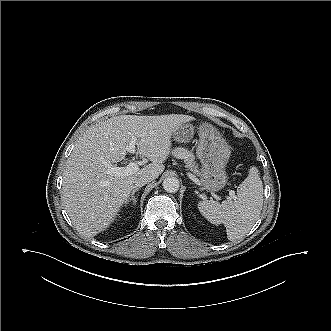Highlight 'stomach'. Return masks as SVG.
I'll return each instance as SVG.
<instances>
[{
    "label": "stomach",
    "mask_w": 331,
    "mask_h": 331,
    "mask_svg": "<svg viewBox=\"0 0 331 331\" xmlns=\"http://www.w3.org/2000/svg\"><path fill=\"white\" fill-rule=\"evenodd\" d=\"M191 132L190 125L183 124L173 133V138L185 142ZM196 153L202 164L199 175L204 189L215 192L224 188L228 180L225 167L231 153L226 140L213 130H205L200 135Z\"/></svg>",
    "instance_id": "0dacf381"
}]
</instances>
